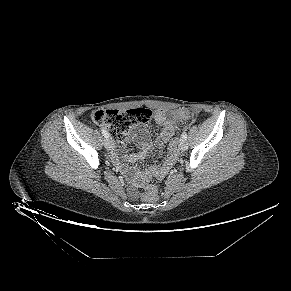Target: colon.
<instances>
[{
	"instance_id": "1",
	"label": "colon",
	"mask_w": 291,
	"mask_h": 291,
	"mask_svg": "<svg viewBox=\"0 0 291 291\" xmlns=\"http://www.w3.org/2000/svg\"><path fill=\"white\" fill-rule=\"evenodd\" d=\"M175 116L180 119H189L193 118L195 114L191 110H179L175 113ZM150 117L151 111L146 108L126 111H97L92 116L93 121L102 124L108 130L111 137L118 142L126 141L132 128L147 123ZM142 196L146 201H155L158 198L156 187L147 186Z\"/></svg>"
}]
</instances>
